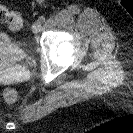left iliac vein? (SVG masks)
<instances>
[{"label":"left iliac vein","mask_w":133,"mask_h":133,"mask_svg":"<svg viewBox=\"0 0 133 133\" xmlns=\"http://www.w3.org/2000/svg\"><path fill=\"white\" fill-rule=\"evenodd\" d=\"M41 27H42V22L37 20L33 23L32 30L37 33L41 30Z\"/></svg>","instance_id":"left-iliac-vein-1"}]
</instances>
